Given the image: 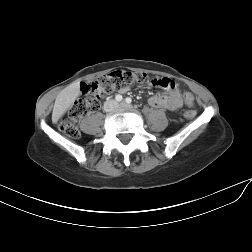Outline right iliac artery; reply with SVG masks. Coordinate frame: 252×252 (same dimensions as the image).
I'll use <instances>...</instances> for the list:
<instances>
[{"mask_svg": "<svg viewBox=\"0 0 252 252\" xmlns=\"http://www.w3.org/2000/svg\"><path fill=\"white\" fill-rule=\"evenodd\" d=\"M115 99H116L118 102H120V101L122 100V96L118 94V95H116Z\"/></svg>", "mask_w": 252, "mask_h": 252, "instance_id": "obj_1", "label": "right iliac artery"}]
</instances>
